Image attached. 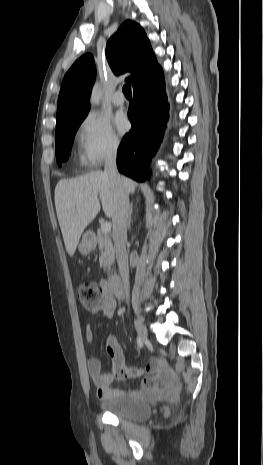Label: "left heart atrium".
I'll return each mask as SVG.
<instances>
[{
    "mask_svg": "<svg viewBox=\"0 0 263 465\" xmlns=\"http://www.w3.org/2000/svg\"><path fill=\"white\" fill-rule=\"evenodd\" d=\"M115 125L120 133H125L129 128V122L123 114L116 116Z\"/></svg>",
    "mask_w": 263,
    "mask_h": 465,
    "instance_id": "39dd6f15",
    "label": "left heart atrium"
}]
</instances>
